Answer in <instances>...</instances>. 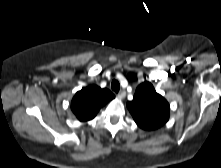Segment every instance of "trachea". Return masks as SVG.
<instances>
[{
	"instance_id": "3493384b",
	"label": "trachea",
	"mask_w": 221,
	"mask_h": 168,
	"mask_svg": "<svg viewBox=\"0 0 221 168\" xmlns=\"http://www.w3.org/2000/svg\"><path fill=\"white\" fill-rule=\"evenodd\" d=\"M111 88L114 92L118 93L120 90V84L117 80H113L111 83Z\"/></svg>"
}]
</instances>
